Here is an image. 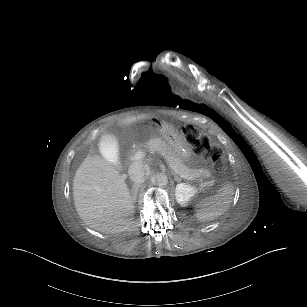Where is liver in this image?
Segmentation results:
<instances>
[{
  "mask_svg": "<svg viewBox=\"0 0 307 307\" xmlns=\"http://www.w3.org/2000/svg\"><path fill=\"white\" fill-rule=\"evenodd\" d=\"M145 117L129 116L120 122L130 125ZM73 197L78 215L90 228L117 233L131 227L126 217L134 206L125 179L102 157L87 156L81 163L73 179Z\"/></svg>",
  "mask_w": 307,
  "mask_h": 307,
  "instance_id": "6515ba94",
  "label": "liver"
}]
</instances>
